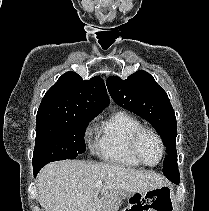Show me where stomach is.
Listing matches in <instances>:
<instances>
[{"label": "stomach", "instance_id": "obj_1", "mask_svg": "<svg viewBox=\"0 0 209 211\" xmlns=\"http://www.w3.org/2000/svg\"><path fill=\"white\" fill-rule=\"evenodd\" d=\"M137 195H141V193H131V194H124L122 195L124 198H127V199H134L135 196Z\"/></svg>", "mask_w": 209, "mask_h": 211}]
</instances>
